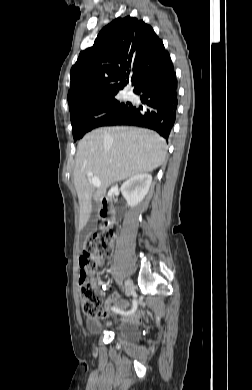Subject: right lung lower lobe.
<instances>
[{
	"instance_id": "98d812e1",
	"label": "right lung lower lobe",
	"mask_w": 252,
	"mask_h": 390,
	"mask_svg": "<svg viewBox=\"0 0 252 390\" xmlns=\"http://www.w3.org/2000/svg\"><path fill=\"white\" fill-rule=\"evenodd\" d=\"M148 107L130 106L123 114L109 122L111 125H134L157 131L168 139L176 120L178 106V85L175 72L150 79L136 91Z\"/></svg>"
}]
</instances>
